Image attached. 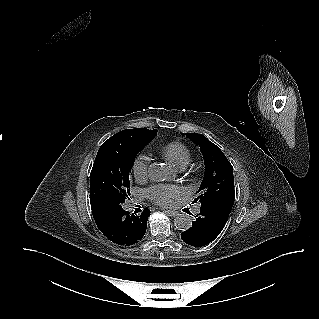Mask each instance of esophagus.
<instances>
[{"label":"esophagus","instance_id":"1","mask_svg":"<svg viewBox=\"0 0 319 319\" xmlns=\"http://www.w3.org/2000/svg\"><path fill=\"white\" fill-rule=\"evenodd\" d=\"M165 212L170 216V217H176L178 215L177 211L173 210H165Z\"/></svg>","mask_w":319,"mask_h":319}]
</instances>
